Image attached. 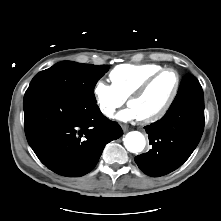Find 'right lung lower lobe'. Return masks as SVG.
<instances>
[{
  "instance_id": "obj_1",
  "label": "right lung lower lobe",
  "mask_w": 221,
  "mask_h": 221,
  "mask_svg": "<svg viewBox=\"0 0 221 221\" xmlns=\"http://www.w3.org/2000/svg\"><path fill=\"white\" fill-rule=\"evenodd\" d=\"M23 108L30 147L45 166L63 176L90 172L105 145L123 134L97 104L37 93L24 96Z\"/></svg>"
}]
</instances>
